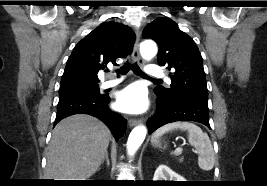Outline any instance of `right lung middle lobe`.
<instances>
[{
    "label": "right lung middle lobe",
    "instance_id": "dd1d6c3e",
    "mask_svg": "<svg viewBox=\"0 0 267 186\" xmlns=\"http://www.w3.org/2000/svg\"><path fill=\"white\" fill-rule=\"evenodd\" d=\"M76 91L100 95V89L98 84H86V83L60 85L59 95Z\"/></svg>",
    "mask_w": 267,
    "mask_h": 186
}]
</instances>
